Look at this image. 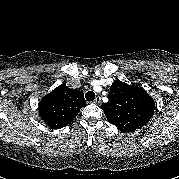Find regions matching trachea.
<instances>
[{"label":"trachea","mask_w":179,"mask_h":179,"mask_svg":"<svg viewBox=\"0 0 179 179\" xmlns=\"http://www.w3.org/2000/svg\"><path fill=\"white\" fill-rule=\"evenodd\" d=\"M85 98L88 100V101H93L95 99V93L92 92V91H88L86 94H85Z\"/></svg>","instance_id":"obj_1"}]
</instances>
